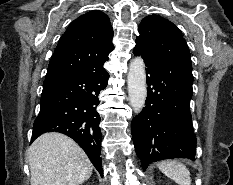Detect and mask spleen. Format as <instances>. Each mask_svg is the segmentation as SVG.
<instances>
[{"mask_svg": "<svg viewBox=\"0 0 233 185\" xmlns=\"http://www.w3.org/2000/svg\"><path fill=\"white\" fill-rule=\"evenodd\" d=\"M159 170L178 185H191L190 171L176 160L162 161L158 164Z\"/></svg>", "mask_w": 233, "mask_h": 185, "instance_id": "1", "label": "spleen"}]
</instances>
